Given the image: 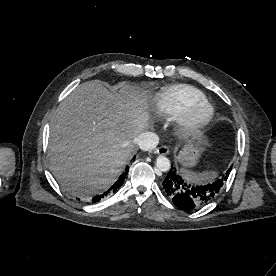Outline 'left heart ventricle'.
Segmentation results:
<instances>
[{
	"mask_svg": "<svg viewBox=\"0 0 276 276\" xmlns=\"http://www.w3.org/2000/svg\"><path fill=\"white\" fill-rule=\"evenodd\" d=\"M206 114V111H202L199 113L200 116H204Z\"/></svg>",
	"mask_w": 276,
	"mask_h": 276,
	"instance_id": "left-heart-ventricle-1",
	"label": "left heart ventricle"
}]
</instances>
